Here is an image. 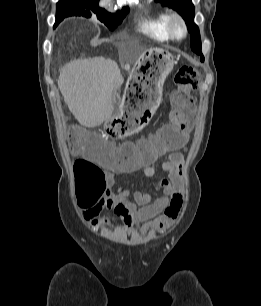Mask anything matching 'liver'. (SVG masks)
<instances>
[{
  "label": "liver",
  "mask_w": 261,
  "mask_h": 306,
  "mask_svg": "<svg viewBox=\"0 0 261 306\" xmlns=\"http://www.w3.org/2000/svg\"><path fill=\"white\" fill-rule=\"evenodd\" d=\"M124 78L114 61L102 57L74 59L60 70L58 87L70 112L85 127H95L114 112L113 93Z\"/></svg>",
  "instance_id": "liver-1"
}]
</instances>
